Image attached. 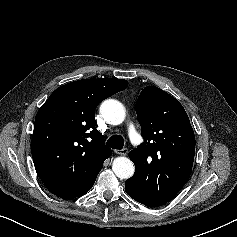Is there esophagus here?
I'll return each mask as SVG.
<instances>
[{"label": "esophagus", "mask_w": 237, "mask_h": 237, "mask_svg": "<svg viewBox=\"0 0 237 237\" xmlns=\"http://www.w3.org/2000/svg\"><path fill=\"white\" fill-rule=\"evenodd\" d=\"M115 153H117L118 155L126 156L128 154V149L127 148H123L121 150H115Z\"/></svg>", "instance_id": "esophagus-1"}]
</instances>
